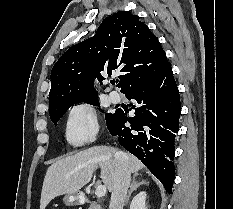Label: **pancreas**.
<instances>
[{
	"mask_svg": "<svg viewBox=\"0 0 233 209\" xmlns=\"http://www.w3.org/2000/svg\"><path fill=\"white\" fill-rule=\"evenodd\" d=\"M89 209H102L100 204H98L97 202H91L89 205Z\"/></svg>",
	"mask_w": 233,
	"mask_h": 209,
	"instance_id": "pancreas-1",
	"label": "pancreas"
}]
</instances>
